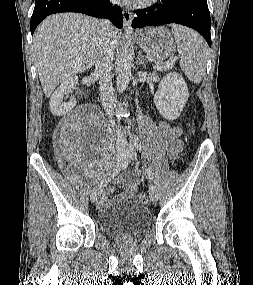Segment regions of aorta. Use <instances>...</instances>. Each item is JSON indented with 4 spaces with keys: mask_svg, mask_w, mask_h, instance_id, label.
Returning <instances> with one entry per match:
<instances>
[{
    "mask_svg": "<svg viewBox=\"0 0 253 285\" xmlns=\"http://www.w3.org/2000/svg\"><path fill=\"white\" fill-rule=\"evenodd\" d=\"M132 55L128 46H126L118 62L117 90L122 93L126 90L131 78Z\"/></svg>",
    "mask_w": 253,
    "mask_h": 285,
    "instance_id": "aorta-1",
    "label": "aorta"
}]
</instances>
